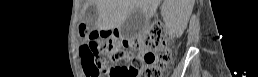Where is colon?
Listing matches in <instances>:
<instances>
[{"instance_id":"1","label":"colon","mask_w":258,"mask_h":77,"mask_svg":"<svg viewBox=\"0 0 258 77\" xmlns=\"http://www.w3.org/2000/svg\"><path fill=\"white\" fill-rule=\"evenodd\" d=\"M88 42L81 47L86 73L102 71L109 77H162L173 60L169 36L162 23H153L139 38L127 40L125 50L108 48L110 32H84Z\"/></svg>"}]
</instances>
